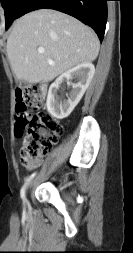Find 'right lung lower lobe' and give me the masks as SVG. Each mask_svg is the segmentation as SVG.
Instances as JSON below:
<instances>
[{
    "label": "right lung lower lobe",
    "instance_id": "98d812e1",
    "mask_svg": "<svg viewBox=\"0 0 133 253\" xmlns=\"http://www.w3.org/2000/svg\"><path fill=\"white\" fill-rule=\"evenodd\" d=\"M108 0H24L16 18L38 8L67 13L94 29L102 42L107 21Z\"/></svg>",
    "mask_w": 133,
    "mask_h": 253
}]
</instances>
